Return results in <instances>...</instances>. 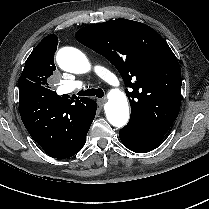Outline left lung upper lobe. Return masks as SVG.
Listing matches in <instances>:
<instances>
[{"instance_id":"1","label":"left lung upper lobe","mask_w":209,"mask_h":209,"mask_svg":"<svg viewBox=\"0 0 209 209\" xmlns=\"http://www.w3.org/2000/svg\"><path fill=\"white\" fill-rule=\"evenodd\" d=\"M77 41L106 57L120 72L130 119L165 135L181 104V70L165 40L151 27L123 18L81 28Z\"/></svg>"}]
</instances>
